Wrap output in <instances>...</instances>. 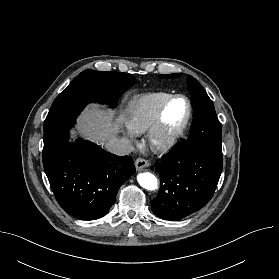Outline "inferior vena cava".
Instances as JSON below:
<instances>
[{
	"label": "inferior vena cava",
	"instance_id": "inferior-vena-cava-1",
	"mask_svg": "<svg viewBox=\"0 0 279 279\" xmlns=\"http://www.w3.org/2000/svg\"><path fill=\"white\" fill-rule=\"evenodd\" d=\"M106 149L115 155H128L134 151L132 143L126 138L115 139L106 144Z\"/></svg>",
	"mask_w": 279,
	"mask_h": 279
}]
</instances>
